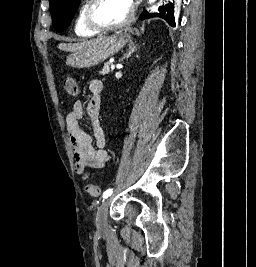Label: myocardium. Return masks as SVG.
Here are the masks:
<instances>
[{"mask_svg":"<svg viewBox=\"0 0 256 267\" xmlns=\"http://www.w3.org/2000/svg\"><path fill=\"white\" fill-rule=\"evenodd\" d=\"M105 1V0H92L91 5L86 9L85 11V22L86 25L93 31L99 32V33H106V32H113L117 30H121L124 27L128 26L129 24L133 23L135 21V12L132 10V16L130 21L122 24H116V25H103L99 23L95 17H94V10L98 3Z\"/></svg>","mask_w":256,"mask_h":267,"instance_id":"obj_1","label":"myocardium"}]
</instances>
